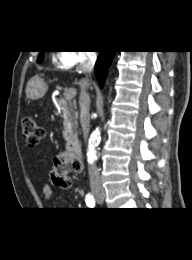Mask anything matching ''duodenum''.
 Returning <instances> with one entry per match:
<instances>
[{
    "instance_id": "duodenum-1",
    "label": "duodenum",
    "mask_w": 192,
    "mask_h": 260,
    "mask_svg": "<svg viewBox=\"0 0 192 260\" xmlns=\"http://www.w3.org/2000/svg\"><path fill=\"white\" fill-rule=\"evenodd\" d=\"M67 152L71 155L80 157L82 155V148L76 138H71L67 144Z\"/></svg>"
}]
</instances>
